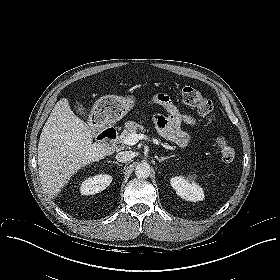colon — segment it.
I'll return each mask as SVG.
<instances>
[{
  "label": "colon",
  "mask_w": 280,
  "mask_h": 280,
  "mask_svg": "<svg viewBox=\"0 0 280 280\" xmlns=\"http://www.w3.org/2000/svg\"><path fill=\"white\" fill-rule=\"evenodd\" d=\"M182 102L186 105L195 107L199 115L206 120L210 125H213L216 120L213 103L204 97L197 89L191 86H183L180 89ZM216 144L219 150L221 160L230 164L233 163L236 157L235 149L231 146L228 139L224 136H217Z\"/></svg>",
  "instance_id": "obj_1"
}]
</instances>
